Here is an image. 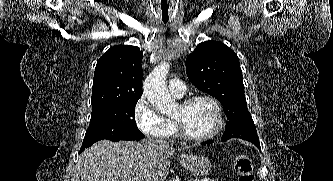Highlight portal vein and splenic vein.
I'll return each mask as SVG.
<instances>
[{
	"label": "portal vein and splenic vein",
	"mask_w": 333,
	"mask_h": 181,
	"mask_svg": "<svg viewBox=\"0 0 333 181\" xmlns=\"http://www.w3.org/2000/svg\"><path fill=\"white\" fill-rule=\"evenodd\" d=\"M194 181H207V180H194Z\"/></svg>",
	"instance_id": "18ae733b"
}]
</instances>
